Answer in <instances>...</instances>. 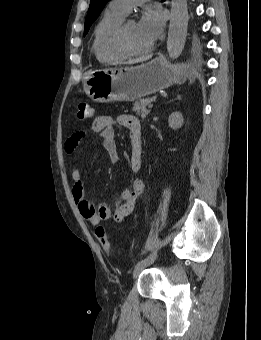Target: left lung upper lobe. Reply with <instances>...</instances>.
<instances>
[{
	"label": "left lung upper lobe",
	"instance_id": "obj_1",
	"mask_svg": "<svg viewBox=\"0 0 261 340\" xmlns=\"http://www.w3.org/2000/svg\"><path fill=\"white\" fill-rule=\"evenodd\" d=\"M109 0H91L89 10L87 13L85 28H84V36L87 34L90 26L99 16L105 5Z\"/></svg>",
	"mask_w": 261,
	"mask_h": 340
}]
</instances>
